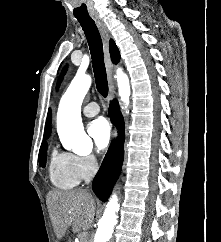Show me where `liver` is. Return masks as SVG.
Returning <instances> with one entry per match:
<instances>
[{
	"label": "liver",
	"instance_id": "6515ba94",
	"mask_svg": "<svg viewBox=\"0 0 221 242\" xmlns=\"http://www.w3.org/2000/svg\"><path fill=\"white\" fill-rule=\"evenodd\" d=\"M47 205L54 232L62 239L69 227L73 233L88 229L95 215V200L85 191L54 190L47 195Z\"/></svg>",
	"mask_w": 221,
	"mask_h": 242
}]
</instances>
